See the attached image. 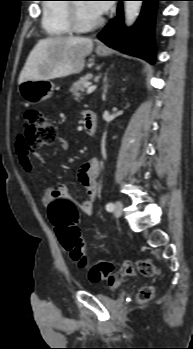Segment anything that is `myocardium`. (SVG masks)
I'll return each mask as SVG.
<instances>
[{
	"label": "myocardium",
	"instance_id": "f54148a6",
	"mask_svg": "<svg viewBox=\"0 0 193 349\" xmlns=\"http://www.w3.org/2000/svg\"><path fill=\"white\" fill-rule=\"evenodd\" d=\"M68 22L72 31L83 33L95 29L102 23L101 17H96L90 21L84 22L80 14L79 2H72L68 5Z\"/></svg>",
	"mask_w": 193,
	"mask_h": 349
}]
</instances>
